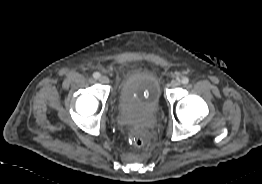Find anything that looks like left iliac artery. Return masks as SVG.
Listing matches in <instances>:
<instances>
[{
	"label": "left iliac artery",
	"mask_w": 262,
	"mask_h": 184,
	"mask_svg": "<svg viewBox=\"0 0 262 184\" xmlns=\"http://www.w3.org/2000/svg\"><path fill=\"white\" fill-rule=\"evenodd\" d=\"M181 82H182V84H188L189 79L187 77H184V78H182Z\"/></svg>",
	"instance_id": "44dca946"
}]
</instances>
